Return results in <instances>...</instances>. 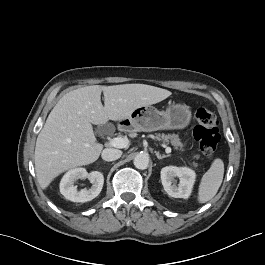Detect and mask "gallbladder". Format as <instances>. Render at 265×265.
<instances>
[{
    "label": "gallbladder",
    "mask_w": 265,
    "mask_h": 265,
    "mask_svg": "<svg viewBox=\"0 0 265 265\" xmlns=\"http://www.w3.org/2000/svg\"><path fill=\"white\" fill-rule=\"evenodd\" d=\"M107 127H108L107 124L101 125V126L98 127V129H97V133H98V134H102V133H104Z\"/></svg>",
    "instance_id": "gallbladder-1"
}]
</instances>
